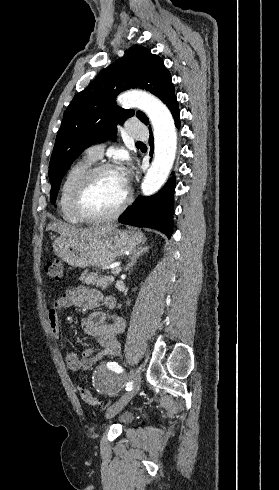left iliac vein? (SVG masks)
Masks as SVG:
<instances>
[{
  "label": "left iliac vein",
  "mask_w": 279,
  "mask_h": 490,
  "mask_svg": "<svg viewBox=\"0 0 279 490\" xmlns=\"http://www.w3.org/2000/svg\"><path fill=\"white\" fill-rule=\"evenodd\" d=\"M128 379L133 382L132 390L130 392L123 394L122 397L117 401V403L114 404L112 407H110L107 410L106 418L114 417L118 412H120L128 404V402L138 392L139 385L141 382L140 371L136 368L131 369V371L129 372V375H128Z\"/></svg>",
  "instance_id": "left-iliac-vein-1"
}]
</instances>
